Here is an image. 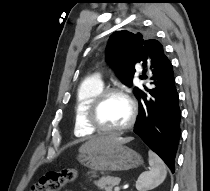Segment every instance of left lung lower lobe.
I'll use <instances>...</instances> for the list:
<instances>
[{
    "label": "left lung lower lobe",
    "instance_id": "0a47b994",
    "mask_svg": "<svg viewBox=\"0 0 210 191\" xmlns=\"http://www.w3.org/2000/svg\"><path fill=\"white\" fill-rule=\"evenodd\" d=\"M152 89L144 87L138 96L139 115L134 132L175 171V156L180 139L178 93L169 59L152 70Z\"/></svg>",
    "mask_w": 210,
    "mask_h": 191
}]
</instances>
